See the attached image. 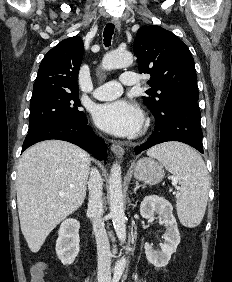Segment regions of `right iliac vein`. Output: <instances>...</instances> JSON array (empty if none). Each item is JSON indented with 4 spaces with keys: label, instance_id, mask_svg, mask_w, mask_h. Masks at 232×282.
<instances>
[{
    "label": "right iliac vein",
    "instance_id": "right-iliac-vein-1",
    "mask_svg": "<svg viewBox=\"0 0 232 282\" xmlns=\"http://www.w3.org/2000/svg\"><path fill=\"white\" fill-rule=\"evenodd\" d=\"M99 282H106L105 280H101V281H99Z\"/></svg>",
    "mask_w": 232,
    "mask_h": 282
}]
</instances>
